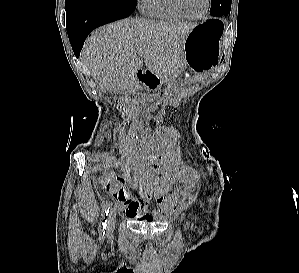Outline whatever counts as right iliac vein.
<instances>
[{"label":"right iliac vein","instance_id":"1","mask_svg":"<svg viewBox=\"0 0 299 273\" xmlns=\"http://www.w3.org/2000/svg\"><path fill=\"white\" fill-rule=\"evenodd\" d=\"M115 219H116V209L112 208L109 212L108 216V231L111 232L114 224H115Z\"/></svg>","mask_w":299,"mask_h":273}]
</instances>
